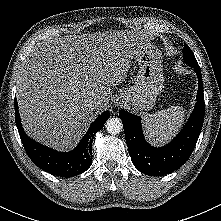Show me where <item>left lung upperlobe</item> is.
<instances>
[{
    "mask_svg": "<svg viewBox=\"0 0 221 221\" xmlns=\"http://www.w3.org/2000/svg\"><path fill=\"white\" fill-rule=\"evenodd\" d=\"M184 55V61L192 68H200L195 56L193 55L191 49L184 43V49L182 50Z\"/></svg>",
    "mask_w": 221,
    "mask_h": 221,
    "instance_id": "obj_1",
    "label": "left lung upper lobe"
}]
</instances>
